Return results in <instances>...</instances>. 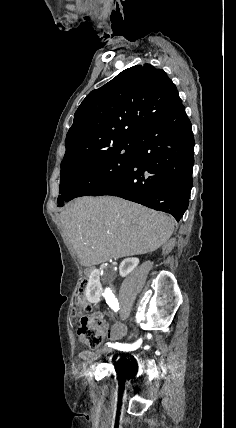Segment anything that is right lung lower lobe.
<instances>
[{
  "label": "right lung lower lobe",
  "mask_w": 236,
  "mask_h": 428,
  "mask_svg": "<svg viewBox=\"0 0 236 428\" xmlns=\"http://www.w3.org/2000/svg\"><path fill=\"white\" fill-rule=\"evenodd\" d=\"M194 163L191 122L182 105L135 139L130 166L93 196H118L171 214L179 221L189 204Z\"/></svg>",
  "instance_id": "right-lung-lower-lobe-1"
}]
</instances>
